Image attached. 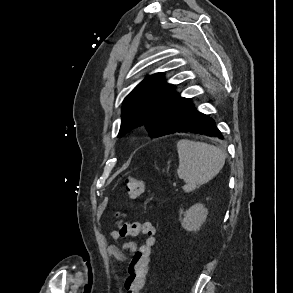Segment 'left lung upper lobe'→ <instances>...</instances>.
<instances>
[{
	"label": "left lung upper lobe",
	"mask_w": 293,
	"mask_h": 293,
	"mask_svg": "<svg viewBox=\"0 0 293 293\" xmlns=\"http://www.w3.org/2000/svg\"><path fill=\"white\" fill-rule=\"evenodd\" d=\"M190 104L164 82L161 73L149 75L124 99L118 137L142 125L150 137L169 134Z\"/></svg>",
	"instance_id": "obj_1"
}]
</instances>
